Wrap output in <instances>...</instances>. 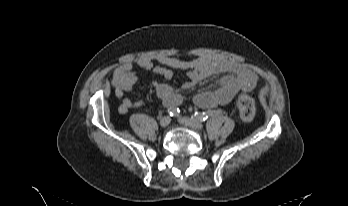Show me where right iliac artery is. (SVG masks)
<instances>
[{
    "mask_svg": "<svg viewBox=\"0 0 348 206\" xmlns=\"http://www.w3.org/2000/svg\"><path fill=\"white\" fill-rule=\"evenodd\" d=\"M167 113L169 116L173 117V116H178L179 113H180V110L179 108H176V107H170L168 110H167Z\"/></svg>",
    "mask_w": 348,
    "mask_h": 206,
    "instance_id": "1",
    "label": "right iliac artery"
}]
</instances>
